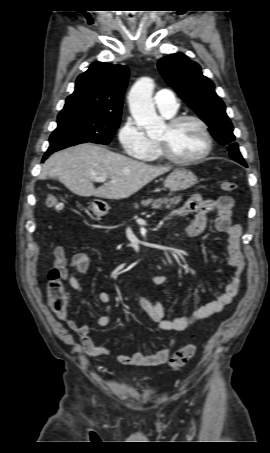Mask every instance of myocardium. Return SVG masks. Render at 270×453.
<instances>
[{
	"label": "myocardium",
	"instance_id": "obj_1",
	"mask_svg": "<svg viewBox=\"0 0 270 453\" xmlns=\"http://www.w3.org/2000/svg\"><path fill=\"white\" fill-rule=\"evenodd\" d=\"M187 121L195 122L196 124H198L200 126V128L203 132L204 138H205V143H206L205 148L200 154H198L195 157L181 158V157H177L176 155H174L171 152L168 142L158 140L157 144L159 146L162 157L171 163L181 164V165L197 163V162L203 160L204 158H206L210 154V152L213 148V139H212V135L210 133L209 127H208L207 123L198 116H195V115L174 116L168 120L167 126L169 129H174L177 126H179L180 124L187 122Z\"/></svg>",
	"mask_w": 270,
	"mask_h": 453
}]
</instances>
